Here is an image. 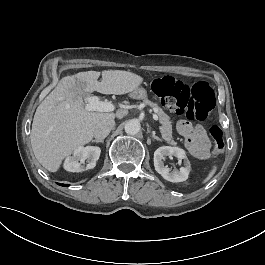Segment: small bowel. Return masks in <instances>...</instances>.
Wrapping results in <instances>:
<instances>
[{
	"instance_id": "c3829d8e",
	"label": "small bowel",
	"mask_w": 265,
	"mask_h": 265,
	"mask_svg": "<svg viewBox=\"0 0 265 265\" xmlns=\"http://www.w3.org/2000/svg\"><path fill=\"white\" fill-rule=\"evenodd\" d=\"M177 130L184 137L188 150L195 158L206 160L210 157V140L201 125L193 126L181 120L177 123Z\"/></svg>"
}]
</instances>
